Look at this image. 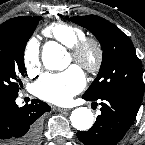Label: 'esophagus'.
<instances>
[{
  "instance_id": "esophagus-1",
  "label": "esophagus",
  "mask_w": 145,
  "mask_h": 145,
  "mask_svg": "<svg viewBox=\"0 0 145 145\" xmlns=\"http://www.w3.org/2000/svg\"><path fill=\"white\" fill-rule=\"evenodd\" d=\"M57 109V111H59V112H68L69 111V109H67V108H56Z\"/></svg>"
}]
</instances>
